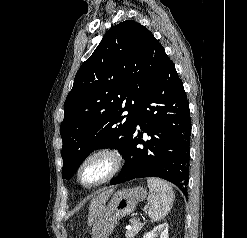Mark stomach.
I'll list each match as a JSON object with an SVG mask.
<instances>
[{
    "instance_id": "obj_1",
    "label": "stomach",
    "mask_w": 247,
    "mask_h": 238,
    "mask_svg": "<svg viewBox=\"0 0 247 238\" xmlns=\"http://www.w3.org/2000/svg\"><path fill=\"white\" fill-rule=\"evenodd\" d=\"M147 191L137 186L117 191L96 218L92 238H108L120 219L132 213L138 202L145 200Z\"/></svg>"
}]
</instances>
